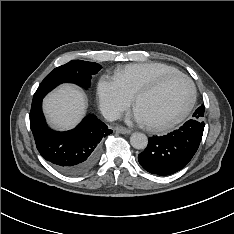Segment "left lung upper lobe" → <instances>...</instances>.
Segmentation results:
<instances>
[{
    "mask_svg": "<svg viewBox=\"0 0 234 234\" xmlns=\"http://www.w3.org/2000/svg\"><path fill=\"white\" fill-rule=\"evenodd\" d=\"M204 111H205V107L203 105H201L198 109L195 110V112L193 113L192 119H196L199 121L203 122L204 119Z\"/></svg>",
    "mask_w": 234,
    "mask_h": 234,
    "instance_id": "left-lung-upper-lobe-1",
    "label": "left lung upper lobe"
}]
</instances>
